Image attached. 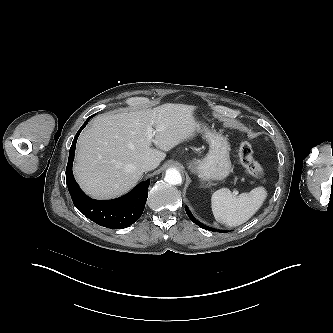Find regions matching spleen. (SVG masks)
<instances>
[{"instance_id": "3e777b00", "label": "spleen", "mask_w": 333, "mask_h": 333, "mask_svg": "<svg viewBox=\"0 0 333 333\" xmlns=\"http://www.w3.org/2000/svg\"><path fill=\"white\" fill-rule=\"evenodd\" d=\"M267 197L264 187L252 189L238 196L228 188L215 191L211 197V208L217 222L235 227L249 220L262 206Z\"/></svg>"}]
</instances>
